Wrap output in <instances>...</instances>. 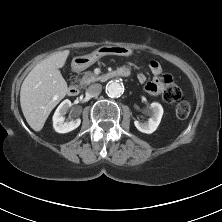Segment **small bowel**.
Masks as SVG:
<instances>
[{
    "instance_id": "obj_1",
    "label": "small bowel",
    "mask_w": 222,
    "mask_h": 222,
    "mask_svg": "<svg viewBox=\"0 0 222 222\" xmlns=\"http://www.w3.org/2000/svg\"><path fill=\"white\" fill-rule=\"evenodd\" d=\"M149 68L154 75L153 79L146 82V76L144 74H139L138 81L140 83H145V89L149 94L159 95L163 92L164 89V85L159 77L162 71L161 65L157 61H151Z\"/></svg>"
}]
</instances>
